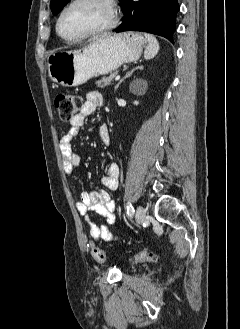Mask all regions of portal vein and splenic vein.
Segmentation results:
<instances>
[{
    "label": "portal vein and splenic vein",
    "instance_id": "1",
    "mask_svg": "<svg viewBox=\"0 0 240 329\" xmlns=\"http://www.w3.org/2000/svg\"><path fill=\"white\" fill-rule=\"evenodd\" d=\"M119 79H120V76L119 75L115 77V80L116 81H118Z\"/></svg>",
    "mask_w": 240,
    "mask_h": 329
}]
</instances>
